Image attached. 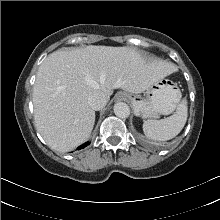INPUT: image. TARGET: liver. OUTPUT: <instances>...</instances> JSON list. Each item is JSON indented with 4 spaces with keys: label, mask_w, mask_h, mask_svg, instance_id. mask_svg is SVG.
I'll return each instance as SVG.
<instances>
[{
    "label": "liver",
    "mask_w": 220,
    "mask_h": 220,
    "mask_svg": "<svg viewBox=\"0 0 220 220\" xmlns=\"http://www.w3.org/2000/svg\"><path fill=\"white\" fill-rule=\"evenodd\" d=\"M174 68L129 47L87 46L58 50L39 66L33 87L37 131L54 150L68 152L91 135L95 111L88 98L114 89L141 93Z\"/></svg>",
    "instance_id": "liver-1"
}]
</instances>
